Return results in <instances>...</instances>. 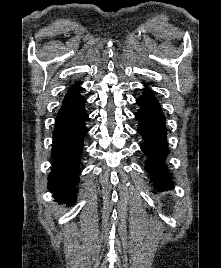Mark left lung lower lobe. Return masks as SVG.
Wrapping results in <instances>:
<instances>
[{"label":"left lung lower lobe","mask_w":221,"mask_h":268,"mask_svg":"<svg viewBox=\"0 0 221 268\" xmlns=\"http://www.w3.org/2000/svg\"><path fill=\"white\" fill-rule=\"evenodd\" d=\"M140 109L136 113L139 121L138 133L142 135L144 143L142 151L148 157L146 165L157 189L173 186L164 161L170 153L167 147V132L165 116L157 99L149 89H145L137 100Z\"/></svg>","instance_id":"0a47b994"}]
</instances>
